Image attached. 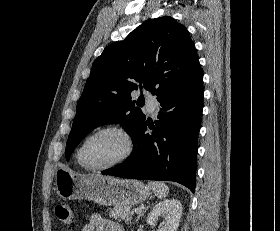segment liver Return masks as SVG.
I'll return each instance as SVG.
<instances>
[{
    "instance_id": "obj_1",
    "label": "liver",
    "mask_w": 280,
    "mask_h": 231,
    "mask_svg": "<svg viewBox=\"0 0 280 231\" xmlns=\"http://www.w3.org/2000/svg\"><path fill=\"white\" fill-rule=\"evenodd\" d=\"M92 177H96V175H92Z\"/></svg>"
}]
</instances>
